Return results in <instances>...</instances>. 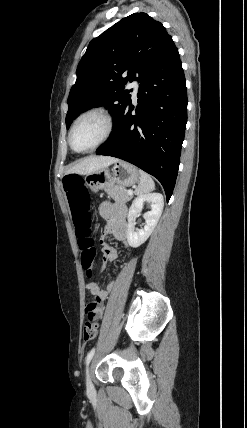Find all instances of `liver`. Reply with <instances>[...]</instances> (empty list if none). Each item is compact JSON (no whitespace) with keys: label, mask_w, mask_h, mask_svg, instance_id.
I'll list each match as a JSON object with an SVG mask.
<instances>
[{"label":"liver","mask_w":247,"mask_h":428,"mask_svg":"<svg viewBox=\"0 0 247 428\" xmlns=\"http://www.w3.org/2000/svg\"><path fill=\"white\" fill-rule=\"evenodd\" d=\"M117 161V158L110 156H91L73 165L67 173L86 175L104 167H108Z\"/></svg>","instance_id":"liver-1"}]
</instances>
